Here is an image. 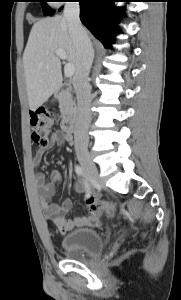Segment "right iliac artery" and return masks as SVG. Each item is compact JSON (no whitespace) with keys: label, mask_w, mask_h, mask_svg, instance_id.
I'll use <instances>...</instances> for the list:
<instances>
[{"label":"right iliac artery","mask_w":181,"mask_h":300,"mask_svg":"<svg viewBox=\"0 0 181 300\" xmlns=\"http://www.w3.org/2000/svg\"><path fill=\"white\" fill-rule=\"evenodd\" d=\"M75 172L79 177H81L83 179L85 188H86V192L89 194L90 193V185L85 177L83 168L80 165H75Z\"/></svg>","instance_id":"1"}]
</instances>
